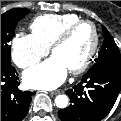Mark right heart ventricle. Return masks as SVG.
Listing matches in <instances>:
<instances>
[{"instance_id":"right-heart-ventricle-1","label":"right heart ventricle","mask_w":121,"mask_h":121,"mask_svg":"<svg viewBox=\"0 0 121 121\" xmlns=\"http://www.w3.org/2000/svg\"><path fill=\"white\" fill-rule=\"evenodd\" d=\"M78 20L81 18L72 13L45 14L36 17L30 28L32 34L49 48L66 27Z\"/></svg>"}]
</instances>
